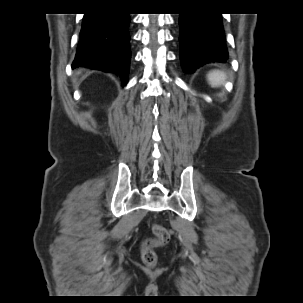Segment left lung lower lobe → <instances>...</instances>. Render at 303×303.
<instances>
[{
    "label": "left lung lower lobe",
    "mask_w": 303,
    "mask_h": 303,
    "mask_svg": "<svg viewBox=\"0 0 303 303\" xmlns=\"http://www.w3.org/2000/svg\"><path fill=\"white\" fill-rule=\"evenodd\" d=\"M180 59L183 70L193 73L199 67L225 63L228 52L220 13L180 14Z\"/></svg>",
    "instance_id": "obj_1"
}]
</instances>
